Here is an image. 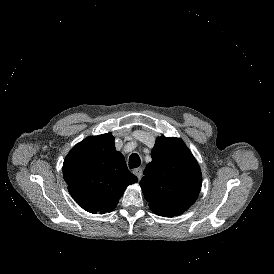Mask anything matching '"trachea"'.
<instances>
[{
    "instance_id": "trachea-1",
    "label": "trachea",
    "mask_w": 274,
    "mask_h": 274,
    "mask_svg": "<svg viewBox=\"0 0 274 274\" xmlns=\"http://www.w3.org/2000/svg\"><path fill=\"white\" fill-rule=\"evenodd\" d=\"M140 156L136 153L132 154L129 158V168H137L140 166Z\"/></svg>"
}]
</instances>
